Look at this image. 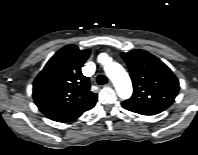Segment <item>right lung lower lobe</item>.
Returning a JSON list of instances; mask_svg holds the SVG:
<instances>
[{
  "label": "right lung lower lobe",
  "mask_w": 198,
  "mask_h": 155,
  "mask_svg": "<svg viewBox=\"0 0 198 155\" xmlns=\"http://www.w3.org/2000/svg\"><path fill=\"white\" fill-rule=\"evenodd\" d=\"M95 105V104H94ZM94 105H92L88 110H90ZM88 110H86V111H88ZM86 111H84V112H86ZM83 112V113H84ZM82 113V114H83ZM82 114H79V115H77L76 117H74V118H72V119H70V120H67V121H71V120H75V119H77L78 117H80ZM67 121H65V122H67Z\"/></svg>",
  "instance_id": "obj_1"
}]
</instances>
